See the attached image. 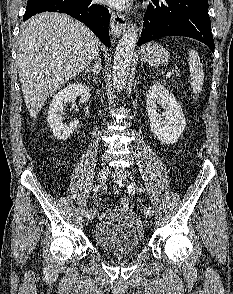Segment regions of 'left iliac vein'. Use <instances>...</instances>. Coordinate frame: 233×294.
<instances>
[{
    "instance_id": "4c4485c4",
    "label": "left iliac vein",
    "mask_w": 233,
    "mask_h": 294,
    "mask_svg": "<svg viewBox=\"0 0 233 294\" xmlns=\"http://www.w3.org/2000/svg\"><path fill=\"white\" fill-rule=\"evenodd\" d=\"M113 178L115 179L116 183L120 186L123 187L125 185V180L127 178H129L131 180V186L133 188L136 187V182L135 180L132 178V176L130 175L129 172H127L126 170H116L113 174H112ZM141 211L145 213L147 218H151L152 217V213L148 212V208L147 207H142Z\"/></svg>"
}]
</instances>
